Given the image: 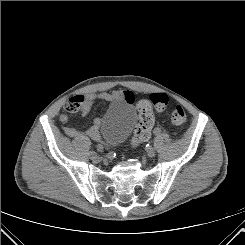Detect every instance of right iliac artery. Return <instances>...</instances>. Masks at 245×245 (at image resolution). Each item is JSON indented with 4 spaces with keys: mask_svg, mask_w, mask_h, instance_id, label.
I'll list each match as a JSON object with an SVG mask.
<instances>
[{
    "mask_svg": "<svg viewBox=\"0 0 245 245\" xmlns=\"http://www.w3.org/2000/svg\"><path fill=\"white\" fill-rule=\"evenodd\" d=\"M97 149L99 150V152H104V147L100 144L97 145Z\"/></svg>",
    "mask_w": 245,
    "mask_h": 245,
    "instance_id": "obj_1",
    "label": "right iliac artery"
}]
</instances>
